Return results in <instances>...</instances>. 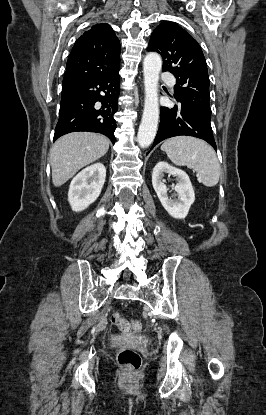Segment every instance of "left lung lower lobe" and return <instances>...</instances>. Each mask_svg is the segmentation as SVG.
Wrapping results in <instances>:
<instances>
[{"label":"left lung lower lobe","mask_w":266,"mask_h":415,"mask_svg":"<svg viewBox=\"0 0 266 415\" xmlns=\"http://www.w3.org/2000/svg\"><path fill=\"white\" fill-rule=\"evenodd\" d=\"M180 135L201 138L217 150L210 124L180 103L173 108L162 107L160 125L152 148L164 139Z\"/></svg>","instance_id":"1"}]
</instances>
